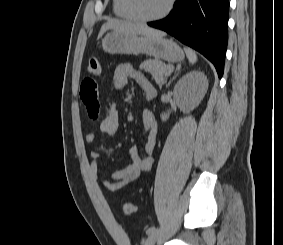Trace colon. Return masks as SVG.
I'll return each instance as SVG.
<instances>
[{"instance_id": "colon-1", "label": "colon", "mask_w": 283, "mask_h": 245, "mask_svg": "<svg viewBox=\"0 0 283 245\" xmlns=\"http://www.w3.org/2000/svg\"><path fill=\"white\" fill-rule=\"evenodd\" d=\"M87 71L92 76H98L100 74V64L96 58H91L88 62ZM123 210L127 215H132L136 213L137 206L131 202H126L123 204Z\"/></svg>"}]
</instances>
